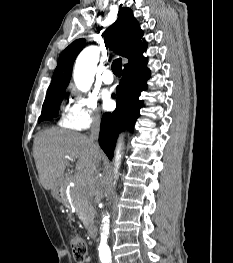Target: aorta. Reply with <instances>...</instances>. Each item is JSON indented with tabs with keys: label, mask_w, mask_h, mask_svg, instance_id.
I'll list each match as a JSON object with an SVG mask.
<instances>
[{
	"label": "aorta",
	"mask_w": 233,
	"mask_h": 263,
	"mask_svg": "<svg viewBox=\"0 0 233 263\" xmlns=\"http://www.w3.org/2000/svg\"><path fill=\"white\" fill-rule=\"evenodd\" d=\"M98 60L99 49L96 46L87 47L77 57L73 77L74 82L79 90L88 91L90 89L94 81ZM118 153L116 156L117 161L120 159V155ZM102 223L99 255L102 259H106L110 258V249L107 245V238L109 234V216H105L102 220Z\"/></svg>",
	"instance_id": "762f6f07"
}]
</instances>
